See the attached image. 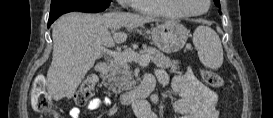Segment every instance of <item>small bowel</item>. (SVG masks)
Returning a JSON list of instances; mask_svg holds the SVG:
<instances>
[{"mask_svg": "<svg viewBox=\"0 0 273 118\" xmlns=\"http://www.w3.org/2000/svg\"><path fill=\"white\" fill-rule=\"evenodd\" d=\"M144 79L155 82V79L164 87L178 94V99L173 104V109L178 118H218V96L205 86L190 69L178 73L172 78L162 69H157L154 75H147ZM155 101V100H154ZM110 98H94L86 106L87 110L93 111L101 105H110ZM138 118H157V115L146 104L134 106ZM81 110L73 107L69 111L70 118H78Z\"/></svg>", "mask_w": 273, "mask_h": 118, "instance_id": "obj_1", "label": "small bowel"}]
</instances>
